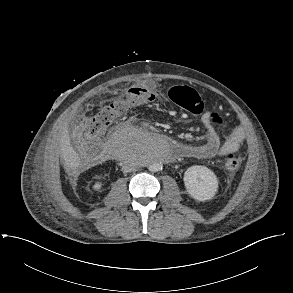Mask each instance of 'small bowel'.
<instances>
[{"label":"small bowel","instance_id":"obj_1","mask_svg":"<svg viewBox=\"0 0 293 293\" xmlns=\"http://www.w3.org/2000/svg\"><path fill=\"white\" fill-rule=\"evenodd\" d=\"M155 101V95L154 99ZM204 111V105L194 113L201 114ZM207 135L206 140L202 144L185 145L186 149L181 152V157L194 159H210L216 156H222L227 152L238 150L244 141V132L240 128H235L228 133L224 141H221L216 130L211 126L208 120V114L203 113L201 116Z\"/></svg>","mask_w":293,"mask_h":293}]
</instances>
